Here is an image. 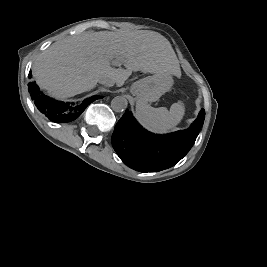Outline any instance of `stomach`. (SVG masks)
Instances as JSON below:
<instances>
[{"label": "stomach", "instance_id": "obj_1", "mask_svg": "<svg viewBox=\"0 0 267 267\" xmlns=\"http://www.w3.org/2000/svg\"><path fill=\"white\" fill-rule=\"evenodd\" d=\"M172 84L173 79L170 75L157 73L134 82L130 92L138 101L155 102L171 88Z\"/></svg>", "mask_w": 267, "mask_h": 267}]
</instances>
